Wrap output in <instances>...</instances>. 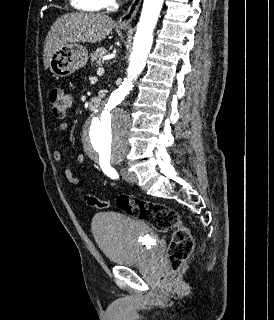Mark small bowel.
<instances>
[{
  "label": "small bowel",
  "instance_id": "1",
  "mask_svg": "<svg viewBox=\"0 0 274 320\" xmlns=\"http://www.w3.org/2000/svg\"><path fill=\"white\" fill-rule=\"evenodd\" d=\"M68 128H69V126L65 122L60 123L59 126H58V130H59L60 133L66 132L68 130ZM53 158H54L55 161L62 163L63 174H64V177H65L66 181L68 182V184H70V185H78L81 182V179L79 177H77L73 173L70 165L68 163L64 162V156H63V153L60 150H55L54 151ZM77 163L80 166H84L85 165V156L82 153H80L77 156Z\"/></svg>",
  "mask_w": 274,
  "mask_h": 320
}]
</instances>
